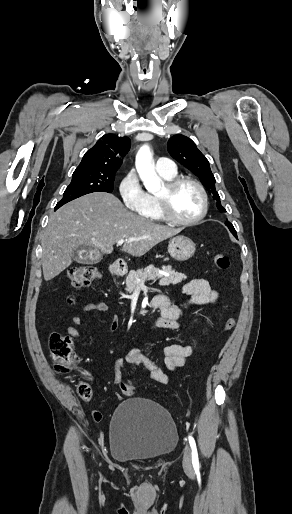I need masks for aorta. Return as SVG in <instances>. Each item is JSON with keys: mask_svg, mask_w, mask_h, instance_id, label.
<instances>
[{"mask_svg": "<svg viewBox=\"0 0 292 514\" xmlns=\"http://www.w3.org/2000/svg\"><path fill=\"white\" fill-rule=\"evenodd\" d=\"M136 170L148 192H155L161 184L152 166V156L148 146L140 148L135 162Z\"/></svg>", "mask_w": 292, "mask_h": 514, "instance_id": "762f6f07", "label": "aorta"}]
</instances>
